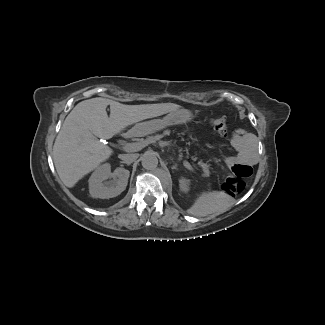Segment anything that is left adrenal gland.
<instances>
[{
	"mask_svg": "<svg viewBox=\"0 0 325 325\" xmlns=\"http://www.w3.org/2000/svg\"><path fill=\"white\" fill-rule=\"evenodd\" d=\"M172 169H177V164L176 163L173 165Z\"/></svg>",
	"mask_w": 325,
	"mask_h": 325,
	"instance_id": "left-adrenal-gland-1",
	"label": "left adrenal gland"
}]
</instances>
